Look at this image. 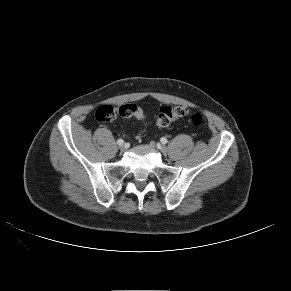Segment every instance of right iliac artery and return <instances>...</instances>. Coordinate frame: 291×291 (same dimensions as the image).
Returning a JSON list of instances; mask_svg holds the SVG:
<instances>
[{
  "mask_svg": "<svg viewBox=\"0 0 291 291\" xmlns=\"http://www.w3.org/2000/svg\"><path fill=\"white\" fill-rule=\"evenodd\" d=\"M117 143H118L119 145H121V144L124 143V141H123L122 139H118V140H117Z\"/></svg>",
  "mask_w": 291,
  "mask_h": 291,
  "instance_id": "1",
  "label": "right iliac artery"
}]
</instances>
